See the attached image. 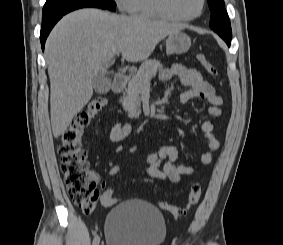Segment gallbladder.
Listing matches in <instances>:
<instances>
[{
	"instance_id": "bac80fb5",
	"label": "gallbladder",
	"mask_w": 283,
	"mask_h": 245,
	"mask_svg": "<svg viewBox=\"0 0 283 245\" xmlns=\"http://www.w3.org/2000/svg\"><path fill=\"white\" fill-rule=\"evenodd\" d=\"M93 88L97 93H106L110 89V81L104 75L98 74L93 78Z\"/></svg>"
}]
</instances>
